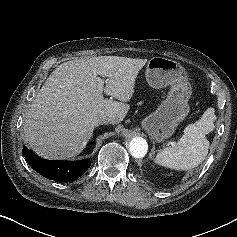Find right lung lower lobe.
<instances>
[{
	"label": "right lung lower lobe",
	"instance_id": "1",
	"mask_svg": "<svg viewBox=\"0 0 237 237\" xmlns=\"http://www.w3.org/2000/svg\"><path fill=\"white\" fill-rule=\"evenodd\" d=\"M23 154L28 164L39 174L56 182L72 181L80 177L90 166L87 159L79 161H55L37 156L27 147H23Z\"/></svg>",
	"mask_w": 237,
	"mask_h": 237
}]
</instances>
